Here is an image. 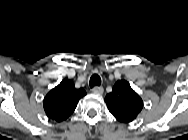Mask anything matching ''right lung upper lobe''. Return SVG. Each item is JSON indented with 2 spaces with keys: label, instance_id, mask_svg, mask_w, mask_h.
Returning a JSON list of instances; mask_svg holds the SVG:
<instances>
[{
  "label": "right lung upper lobe",
  "instance_id": "right-lung-upper-lobe-1",
  "mask_svg": "<svg viewBox=\"0 0 188 140\" xmlns=\"http://www.w3.org/2000/svg\"><path fill=\"white\" fill-rule=\"evenodd\" d=\"M85 95V90L76 89L71 80H62L44 98L43 105L46 115L57 122L66 120L74 112L78 101Z\"/></svg>",
  "mask_w": 188,
  "mask_h": 140
}]
</instances>
